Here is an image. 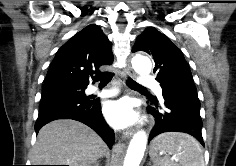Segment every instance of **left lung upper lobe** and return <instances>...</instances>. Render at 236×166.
I'll return each instance as SVG.
<instances>
[{
  "mask_svg": "<svg viewBox=\"0 0 236 166\" xmlns=\"http://www.w3.org/2000/svg\"><path fill=\"white\" fill-rule=\"evenodd\" d=\"M133 52L145 51L153 56L156 80L161 87L171 84L194 85L183 53L170 39L154 27H148L136 40Z\"/></svg>",
  "mask_w": 236,
  "mask_h": 166,
  "instance_id": "left-lung-upper-lobe-1",
  "label": "left lung upper lobe"
}]
</instances>
